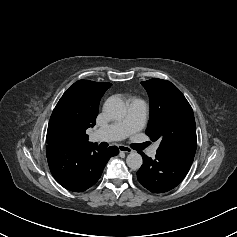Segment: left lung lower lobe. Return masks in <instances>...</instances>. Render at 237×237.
<instances>
[{
  "mask_svg": "<svg viewBox=\"0 0 237 237\" xmlns=\"http://www.w3.org/2000/svg\"><path fill=\"white\" fill-rule=\"evenodd\" d=\"M143 165L137 172L138 181L153 193L167 192L176 187L186 176L192 163L156 154V159L140 153Z\"/></svg>",
  "mask_w": 237,
  "mask_h": 237,
  "instance_id": "obj_1",
  "label": "left lung lower lobe"
}]
</instances>
